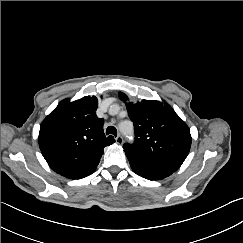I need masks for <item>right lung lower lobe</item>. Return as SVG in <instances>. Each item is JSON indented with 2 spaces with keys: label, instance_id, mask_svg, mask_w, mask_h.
<instances>
[{
  "label": "right lung lower lobe",
  "instance_id": "98d812e1",
  "mask_svg": "<svg viewBox=\"0 0 243 243\" xmlns=\"http://www.w3.org/2000/svg\"><path fill=\"white\" fill-rule=\"evenodd\" d=\"M93 172H94V171H93ZM93 172H91V173H89V174H86L85 176H83V177H81V178H84V177H86V176L92 174ZM81 178H79V179H81Z\"/></svg>",
  "mask_w": 243,
  "mask_h": 243
}]
</instances>
